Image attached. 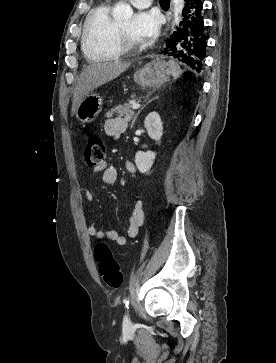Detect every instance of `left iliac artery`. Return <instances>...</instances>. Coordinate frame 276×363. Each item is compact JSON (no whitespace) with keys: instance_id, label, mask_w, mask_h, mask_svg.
<instances>
[{"instance_id":"obj_1","label":"left iliac artery","mask_w":276,"mask_h":363,"mask_svg":"<svg viewBox=\"0 0 276 363\" xmlns=\"http://www.w3.org/2000/svg\"><path fill=\"white\" fill-rule=\"evenodd\" d=\"M123 302L125 303L126 307H128L129 304V296L125 297Z\"/></svg>"}]
</instances>
